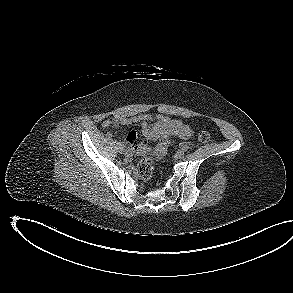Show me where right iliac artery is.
<instances>
[{
    "mask_svg": "<svg viewBox=\"0 0 293 293\" xmlns=\"http://www.w3.org/2000/svg\"><path fill=\"white\" fill-rule=\"evenodd\" d=\"M114 144L118 145V144H121L120 142H118L117 140H114L113 142Z\"/></svg>",
    "mask_w": 293,
    "mask_h": 293,
    "instance_id": "obj_1",
    "label": "right iliac artery"
}]
</instances>
